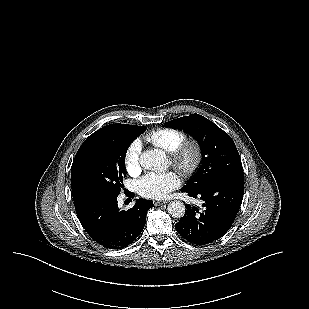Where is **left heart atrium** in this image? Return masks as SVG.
Listing matches in <instances>:
<instances>
[{
  "instance_id": "39dd6f15",
  "label": "left heart atrium",
  "mask_w": 309,
  "mask_h": 309,
  "mask_svg": "<svg viewBox=\"0 0 309 309\" xmlns=\"http://www.w3.org/2000/svg\"><path fill=\"white\" fill-rule=\"evenodd\" d=\"M180 183V177L175 172H150L138 181L137 190L143 197L163 199L178 188Z\"/></svg>"
}]
</instances>
